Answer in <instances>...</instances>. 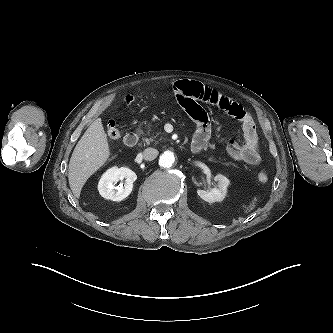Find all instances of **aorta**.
I'll return each mask as SVG.
<instances>
[{
    "instance_id": "762f6f07",
    "label": "aorta",
    "mask_w": 333,
    "mask_h": 333,
    "mask_svg": "<svg viewBox=\"0 0 333 333\" xmlns=\"http://www.w3.org/2000/svg\"><path fill=\"white\" fill-rule=\"evenodd\" d=\"M175 162V155L171 151H165L160 159H159V165L162 168H171Z\"/></svg>"
}]
</instances>
